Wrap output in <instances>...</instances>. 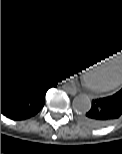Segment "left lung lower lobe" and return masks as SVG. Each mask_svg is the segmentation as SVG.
<instances>
[{"label": "left lung lower lobe", "mask_w": 122, "mask_h": 154, "mask_svg": "<svg viewBox=\"0 0 122 154\" xmlns=\"http://www.w3.org/2000/svg\"><path fill=\"white\" fill-rule=\"evenodd\" d=\"M121 116L122 89L112 96L93 100L91 109L81 121L88 127L100 128L112 124Z\"/></svg>", "instance_id": "obj_1"}]
</instances>
